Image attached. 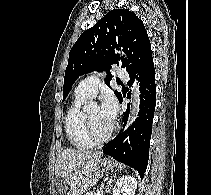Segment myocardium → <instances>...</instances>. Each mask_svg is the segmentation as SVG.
<instances>
[{"label":"myocardium","instance_id":"1","mask_svg":"<svg viewBox=\"0 0 211 195\" xmlns=\"http://www.w3.org/2000/svg\"><path fill=\"white\" fill-rule=\"evenodd\" d=\"M84 125H85V131H86L88 138L94 144H102V143L108 141L112 137V135L116 129V124H113L112 127L110 128V130L105 135H103V136L96 135L93 130L92 122H91V119H90L87 111H84Z\"/></svg>","mask_w":211,"mask_h":195}]
</instances>
